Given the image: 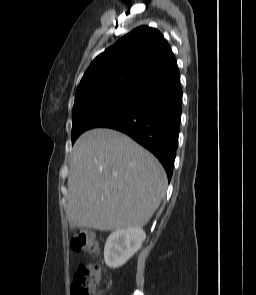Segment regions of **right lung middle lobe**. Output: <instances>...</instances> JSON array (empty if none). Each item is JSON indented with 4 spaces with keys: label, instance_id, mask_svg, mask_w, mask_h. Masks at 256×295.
Instances as JSON below:
<instances>
[{
    "label": "right lung middle lobe",
    "instance_id": "dd1d6c3e",
    "mask_svg": "<svg viewBox=\"0 0 256 295\" xmlns=\"http://www.w3.org/2000/svg\"><path fill=\"white\" fill-rule=\"evenodd\" d=\"M135 98L136 92H128L96 103L74 102L72 110V144L84 131L99 127L104 122L121 113L133 103Z\"/></svg>",
    "mask_w": 256,
    "mask_h": 295
}]
</instances>
